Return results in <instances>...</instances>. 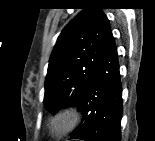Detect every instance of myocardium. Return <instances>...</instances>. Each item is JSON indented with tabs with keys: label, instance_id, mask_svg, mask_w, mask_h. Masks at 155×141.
Wrapping results in <instances>:
<instances>
[{
	"label": "myocardium",
	"instance_id": "1",
	"mask_svg": "<svg viewBox=\"0 0 155 141\" xmlns=\"http://www.w3.org/2000/svg\"><path fill=\"white\" fill-rule=\"evenodd\" d=\"M70 115L67 112L60 111L56 113L48 123V132L51 136H56L64 132L72 123Z\"/></svg>",
	"mask_w": 155,
	"mask_h": 141
}]
</instances>
